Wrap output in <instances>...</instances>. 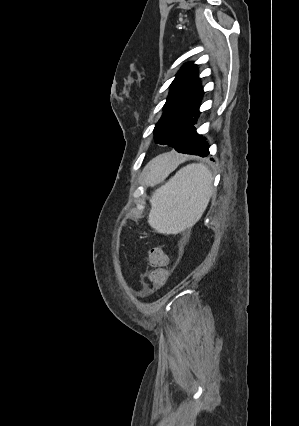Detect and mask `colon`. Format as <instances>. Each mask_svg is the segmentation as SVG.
<instances>
[{"label": "colon", "mask_w": 299, "mask_h": 426, "mask_svg": "<svg viewBox=\"0 0 299 426\" xmlns=\"http://www.w3.org/2000/svg\"><path fill=\"white\" fill-rule=\"evenodd\" d=\"M148 261L152 267L148 274L146 290L155 292L159 290L169 277L167 256L162 247H154L148 253Z\"/></svg>", "instance_id": "obj_1"}]
</instances>
